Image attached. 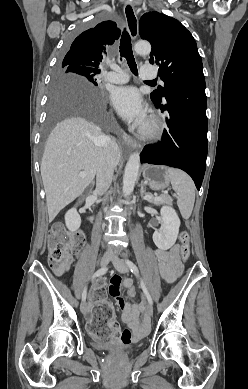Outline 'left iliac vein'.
Here are the masks:
<instances>
[{"instance_id": "obj_1", "label": "left iliac vein", "mask_w": 248, "mask_h": 389, "mask_svg": "<svg viewBox=\"0 0 248 389\" xmlns=\"http://www.w3.org/2000/svg\"><path fill=\"white\" fill-rule=\"evenodd\" d=\"M112 263L118 272H120V273H128L129 272L128 266L126 265V263L122 259L115 256L112 258ZM147 314H148V316L153 315V307L150 303H148V305H147Z\"/></svg>"}]
</instances>
